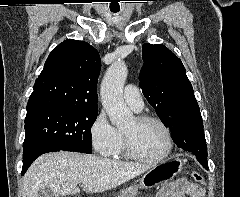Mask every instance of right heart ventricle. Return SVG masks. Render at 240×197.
Segmentation results:
<instances>
[{
  "label": "right heart ventricle",
  "mask_w": 240,
  "mask_h": 197,
  "mask_svg": "<svg viewBox=\"0 0 240 197\" xmlns=\"http://www.w3.org/2000/svg\"><path fill=\"white\" fill-rule=\"evenodd\" d=\"M113 159H130L132 158L125 149V145H124V139H123V135L121 132H119V142L117 144L116 149L114 150V152L110 155Z\"/></svg>",
  "instance_id": "obj_1"
}]
</instances>
